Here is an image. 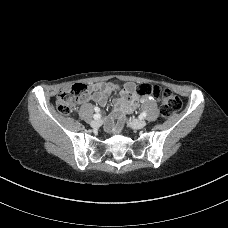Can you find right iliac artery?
<instances>
[{"label": "right iliac artery", "instance_id": "obj_1", "mask_svg": "<svg viewBox=\"0 0 228 228\" xmlns=\"http://www.w3.org/2000/svg\"><path fill=\"white\" fill-rule=\"evenodd\" d=\"M95 111H96L97 113L94 114L93 118H94V119H100L101 115L98 113L99 108H96Z\"/></svg>", "mask_w": 228, "mask_h": 228}]
</instances>
